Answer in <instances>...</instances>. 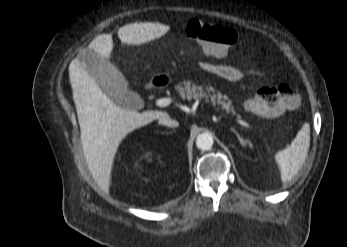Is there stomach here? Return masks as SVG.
Segmentation results:
<instances>
[{
	"label": "stomach",
	"instance_id": "1",
	"mask_svg": "<svg viewBox=\"0 0 347 247\" xmlns=\"http://www.w3.org/2000/svg\"><path fill=\"white\" fill-rule=\"evenodd\" d=\"M158 77H167V76L159 74V75L156 76V78H158Z\"/></svg>",
	"mask_w": 347,
	"mask_h": 247
}]
</instances>
